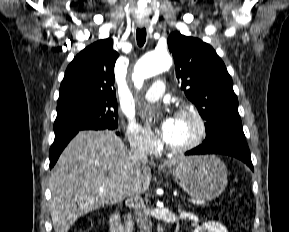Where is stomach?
Listing matches in <instances>:
<instances>
[{"mask_svg": "<svg viewBox=\"0 0 289 232\" xmlns=\"http://www.w3.org/2000/svg\"><path fill=\"white\" fill-rule=\"evenodd\" d=\"M170 173L188 195L197 199H215L227 185L225 164L213 155L184 157Z\"/></svg>", "mask_w": 289, "mask_h": 232, "instance_id": "obj_1", "label": "stomach"}]
</instances>
